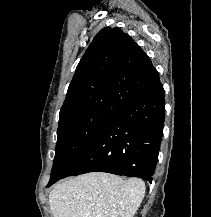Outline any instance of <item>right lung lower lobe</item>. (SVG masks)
Segmentation results:
<instances>
[{"label":"right lung lower lobe","mask_w":211,"mask_h":217,"mask_svg":"<svg viewBox=\"0 0 211 217\" xmlns=\"http://www.w3.org/2000/svg\"><path fill=\"white\" fill-rule=\"evenodd\" d=\"M159 81L124 105L90 148L61 177L107 172L149 182L157 163L165 118Z\"/></svg>","instance_id":"1"}]
</instances>
